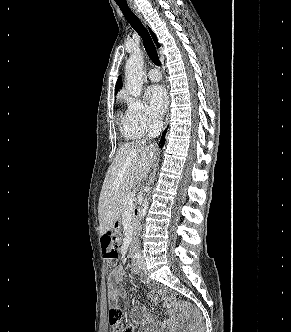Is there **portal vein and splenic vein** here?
<instances>
[{
	"label": "portal vein and splenic vein",
	"mask_w": 291,
	"mask_h": 332,
	"mask_svg": "<svg viewBox=\"0 0 291 332\" xmlns=\"http://www.w3.org/2000/svg\"><path fill=\"white\" fill-rule=\"evenodd\" d=\"M134 197H135V193H133V192L128 193L126 198H125L124 204L127 205V206L132 205Z\"/></svg>",
	"instance_id": "1"
}]
</instances>
